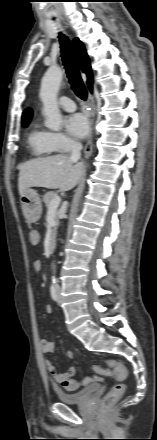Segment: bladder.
<instances>
[{"label": "bladder", "mask_w": 157, "mask_h": 440, "mask_svg": "<svg viewBox=\"0 0 157 440\" xmlns=\"http://www.w3.org/2000/svg\"><path fill=\"white\" fill-rule=\"evenodd\" d=\"M97 390V385L93 384L78 392H66L56 390L55 394L58 400L64 404H80L89 399Z\"/></svg>", "instance_id": "1"}]
</instances>
